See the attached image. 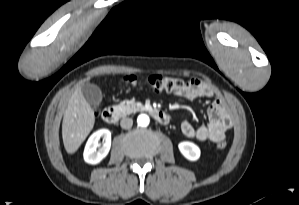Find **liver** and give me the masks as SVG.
Segmentation results:
<instances>
[{
    "label": "liver",
    "instance_id": "obj_1",
    "mask_svg": "<svg viewBox=\"0 0 299 205\" xmlns=\"http://www.w3.org/2000/svg\"><path fill=\"white\" fill-rule=\"evenodd\" d=\"M94 111L77 87L71 94L62 122V138L67 153H74L93 129Z\"/></svg>",
    "mask_w": 299,
    "mask_h": 205
}]
</instances>
